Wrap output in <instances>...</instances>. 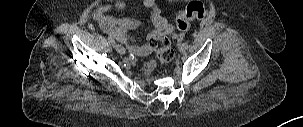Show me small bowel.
<instances>
[{
  "mask_svg": "<svg viewBox=\"0 0 303 127\" xmlns=\"http://www.w3.org/2000/svg\"><path fill=\"white\" fill-rule=\"evenodd\" d=\"M143 5L149 11L152 31L148 34L147 40L158 35H172L174 32L173 25L163 16L161 9L157 6L155 0H143ZM125 4L122 1H115L111 4H104L93 12V19L98 26L111 38H115L123 43L128 50L135 55H147L150 52L148 44H139L130 32L141 26V22L131 17L115 18L110 12L123 11Z\"/></svg>",
  "mask_w": 303,
  "mask_h": 127,
  "instance_id": "c3829d8e",
  "label": "small bowel"
}]
</instances>
